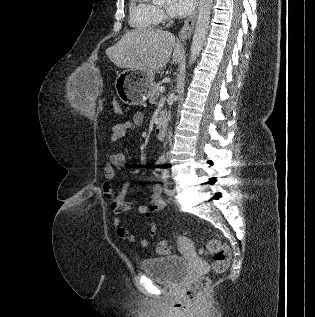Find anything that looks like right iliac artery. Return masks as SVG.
Listing matches in <instances>:
<instances>
[{
	"instance_id": "82829eb1",
	"label": "right iliac artery",
	"mask_w": 315,
	"mask_h": 317,
	"mask_svg": "<svg viewBox=\"0 0 315 317\" xmlns=\"http://www.w3.org/2000/svg\"><path fill=\"white\" fill-rule=\"evenodd\" d=\"M157 164H158V166H161L163 164V161H158ZM159 170H160V167L157 168V171H159Z\"/></svg>"
}]
</instances>
